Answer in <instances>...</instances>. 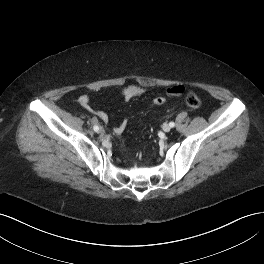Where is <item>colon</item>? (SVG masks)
<instances>
[{
	"mask_svg": "<svg viewBox=\"0 0 264 264\" xmlns=\"http://www.w3.org/2000/svg\"><path fill=\"white\" fill-rule=\"evenodd\" d=\"M186 102L189 107H191L194 110H199L202 106L201 101L193 92H188L186 96ZM153 103L156 106H161L165 103V98L162 96H157L153 99Z\"/></svg>",
	"mask_w": 264,
	"mask_h": 264,
	"instance_id": "5ec220e1",
	"label": "colon"
}]
</instances>
